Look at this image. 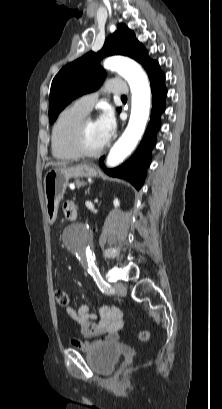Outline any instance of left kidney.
Returning <instances> with one entry per match:
<instances>
[{
	"label": "left kidney",
	"instance_id": "left-kidney-1",
	"mask_svg": "<svg viewBox=\"0 0 222 409\" xmlns=\"http://www.w3.org/2000/svg\"><path fill=\"white\" fill-rule=\"evenodd\" d=\"M113 204H114L115 207H118V206L120 205V202H119V200L116 198V199L114 200Z\"/></svg>",
	"mask_w": 222,
	"mask_h": 409
}]
</instances>
